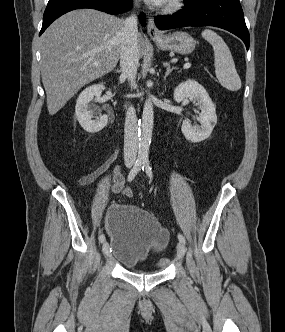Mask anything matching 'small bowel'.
<instances>
[{
	"instance_id": "1",
	"label": "small bowel",
	"mask_w": 285,
	"mask_h": 332,
	"mask_svg": "<svg viewBox=\"0 0 285 332\" xmlns=\"http://www.w3.org/2000/svg\"><path fill=\"white\" fill-rule=\"evenodd\" d=\"M99 174H100V171H95V172L89 173L87 175H84L83 177L80 178L79 184L81 186H89L96 180V178L99 176ZM113 180H114V183L111 186V190L114 193L123 192L126 195L131 194V190L129 188H124V178L121 175L119 166H115L113 168Z\"/></svg>"
}]
</instances>
